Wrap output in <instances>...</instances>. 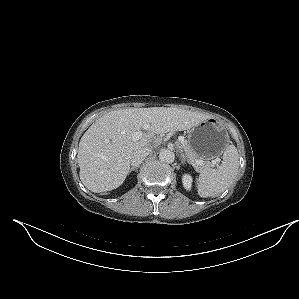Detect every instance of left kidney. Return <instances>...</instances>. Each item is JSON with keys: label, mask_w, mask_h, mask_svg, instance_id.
I'll list each match as a JSON object with an SVG mask.
<instances>
[{"label": "left kidney", "mask_w": 299, "mask_h": 299, "mask_svg": "<svg viewBox=\"0 0 299 299\" xmlns=\"http://www.w3.org/2000/svg\"><path fill=\"white\" fill-rule=\"evenodd\" d=\"M182 183L186 190H191L192 186V177L188 174L183 175L182 177Z\"/></svg>", "instance_id": "left-kidney-1"}]
</instances>
